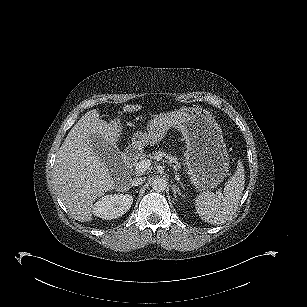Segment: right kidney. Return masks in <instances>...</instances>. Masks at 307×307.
Wrapping results in <instances>:
<instances>
[{
    "instance_id": "ca27d5eb",
    "label": "right kidney",
    "mask_w": 307,
    "mask_h": 307,
    "mask_svg": "<svg viewBox=\"0 0 307 307\" xmlns=\"http://www.w3.org/2000/svg\"><path fill=\"white\" fill-rule=\"evenodd\" d=\"M132 203L133 197L130 194H107L94 203L92 212L99 218L112 220L125 214Z\"/></svg>"
}]
</instances>
